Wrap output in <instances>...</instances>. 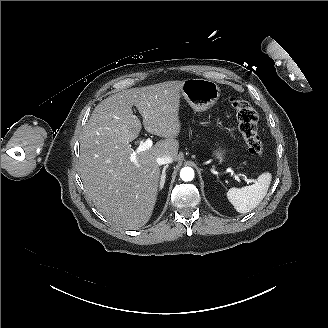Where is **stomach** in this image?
Returning <instances> with one entry per match:
<instances>
[{
  "label": "stomach",
  "instance_id": "0dacf381",
  "mask_svg": "<svg viewBox=\"0 0 328 328\" xmlns=\"http://www.w3.org/2000/svg\"><path fill=\"white\" fill-rule=\"evenodd\" d=\"M181 93L194 111L203 112L217 102L220 97V88L212 80L190 78L182 82ZM224 153V150L218 149L213 154L222 160Z\"/></svg>",
  "mask_w": 328,
  "mask_h": 328
}]
</instances>
